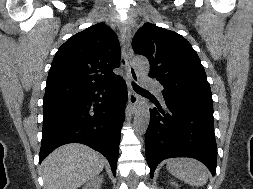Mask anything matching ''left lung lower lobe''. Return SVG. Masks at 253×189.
I'll use <instances>...</instances> for the list:
<instances>
[{"instance_id": "obj_1", "label": "left lung lower lobe", "mask_w": 253, "mask_h": 189, "mask_svg": "<svg viewBox=\"0 0 253 189\" xmlns=\"http://www.w3.org/2000/svg\"><path fill=\"white\" fill-rule=\"evenodd\" d=\"M150 110L145 135L146 159L151 177L156 166L171 157H191L216 173L217 146L214 136L213 109L171 96H163L164 109L158 102Z\"/></svg>"}]
</instances>
